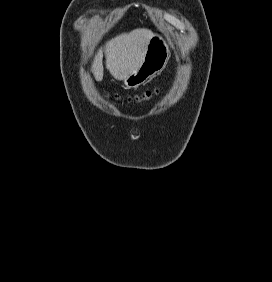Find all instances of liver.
Returning a JSON list of instances; mask_svg holds the SVG:
<instances>
[{
	"instance_id": "6515ba94",
	"label": "liver",
	"mask_w": 272,
	"mask_h": 282,
	"mask_svg": "<svg viewBox=\"0 0 272 282\" xmlns=\"http://www.w3.org/2000/svg\"><path fill=\"white\" fill-rule=\"evenodd\" d=\"M152 35L150 30L138 28L108 41L93 60L92 72L95 79L97 81L103 79V52L106 58V68L115 79L124 80L137 71L144 61Z\"/></svg>"
}]
</instances>
